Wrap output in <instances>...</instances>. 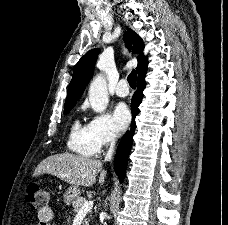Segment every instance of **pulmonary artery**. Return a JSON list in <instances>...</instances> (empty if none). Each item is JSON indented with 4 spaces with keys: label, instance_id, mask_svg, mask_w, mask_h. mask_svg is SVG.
Here are the masks:
<instances>
[{
    "label": "pulmonary artery",
    "instance_id": "obj_1",
    "mask_svg": "<svg viewBox=\"0 0 228 225\" xmlns=\"http://www.w3.org/2000/svg\"><path fill=\"white\" fill-rule=\"evenodd\" d=\"M115 93L117 96L124 98L126 96H128L129 94V88H128V84L125 80H121L118 84L117 87L115 89Z\"/></svg>",
    "mask_w": 228,
    "mask_h": 225
}]
</instances>
